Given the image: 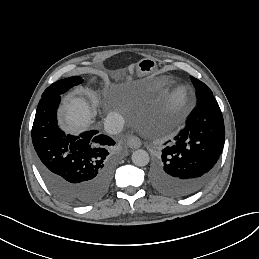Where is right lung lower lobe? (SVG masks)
I'll list each match as a JSON object with an SVG mask.
<instances>
[{
    "mask_svg": "<svg viewBox=\"0 0 259 259\" xmlns=\"http://www.w3.org/2000/svg\"><path fill=\"white\" fill-rule=\"evenodd\" d=\"M60 98L42 97L38 104L31 131L37 167L58 198L88 205L103 198L110 188L114 166L108 155L115 142L97 135L98 131L65 135L57 126Z\"/></svg>",
    "mask_w": 259,
    "mask_h": 259,
    "instance_id": "98d812e1",
    "label": "right lung lower lobe"
}]
</instances>
